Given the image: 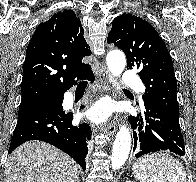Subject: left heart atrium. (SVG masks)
<instances>
[{"label": "left heart atrium", "instance_id": "obj_1", "mask_svg": "<svg viewBox=\"0 0 196 182\" xmlns=\"http://www.w3.org/2000/svg\"><path fill=\"white\" fill-rule=\"evenodd\" d=\"M111 112V105L106 101H101L89 110L88 117L95 122H104Z\"/></svg>", "mask_w": 196, "mask_h": 182}]
</instances>
